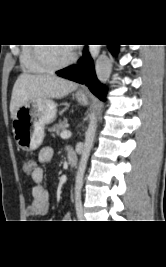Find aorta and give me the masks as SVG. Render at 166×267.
Segmentation results:
<instances>
[{
    "label": "aorta",
    "mask_w": 166,
    "mask_h": 267,
    "mask_svg": "<svg viewBox=\"0 0 166 267\" xmlns=\"http://www.w3.org/2000/svg\"><path fill=\"white\" fill-rule=\"evenodd\" d=\"M101 45H89V53L94 61L97 60L100 53ZM96 132V117L95 114L92 113L90 116V123L88 129L85 133V143L84 150L81 155V160L79 164V168L75 178V200L80 201L81 199V189L83 185L84 173L87 165V161L90 155V151L93 147L94 137Z\"/></svg>",
    "instance_id": "obj_1"
}]
</instances>
